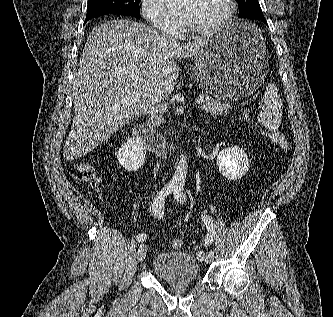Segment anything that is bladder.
I'll list each match as a JSON object with an SVG mask.
<instances>
[{"label": "bladder", "instance_id": "31cf9c89", "mask_svg": "<svg viewBox=\"0 0 333 317\" xmlns=\"http://www.w3.org/2000/svg\"><path fill=\"white\" fill-rule=\"evenodd\" d=\"M151 270L157 278L172 285L191 284L200 277L198 261L186 251L156 254L151 261Z\"/></svg>", "mask_w": 333, "mask_h": 317}]
</instances>
